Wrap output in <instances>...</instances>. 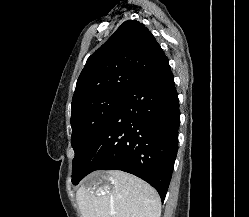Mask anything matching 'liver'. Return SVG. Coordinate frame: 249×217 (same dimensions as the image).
<instances>
[{
  "instance_id": "liver-1",
  "label": "liver",
  "mask_w": 249,
  "mask_h": 217,
  "mask_svg": "<svg viewBox=\"0 0 249 217\" xmlns=\"http://www.w3.org/2000/svg\"><path fill=\"white\" fill-rule=\"evenodd\" d=\"M111 182L96 189L84 184L76 192L82 217H160L161 201L154 188L143 180L119 170L89 176Z\"/></svg>"
}]
</instances>
